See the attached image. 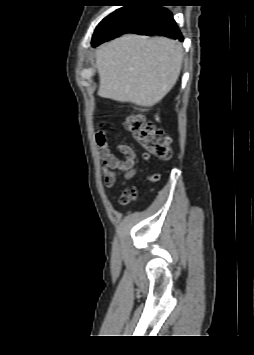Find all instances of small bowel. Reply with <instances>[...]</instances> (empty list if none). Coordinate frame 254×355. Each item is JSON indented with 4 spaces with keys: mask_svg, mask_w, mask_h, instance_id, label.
Instances as JSON below:
<instances>
[{
    "mask_svg": "<svg viewBox=\"0 0 254 355\" xmlns=\"http://www.w3.org/2000/svg\"><path fill=\"white\" fill-rule=\"evenodd\" d=\"M97 151L100 159L103 161V179L106 188L113 187L117 182L125 184L136 175L134 150L127 144L117 143V150L124 156V159H119L112 151L111 146L107 140L106 133L102 130L96 133ZM148 159L147 156H143ZM161 179L160 173L149 175L145 181L158 182ZM131 191L135 195L131 196ZM137 195V187L126 188L121 196V205H127Z\"/></svg>",
    "mask_w": 254,
    "mask_h": 355,
    "instance_id": "small-bowel-1",
    "label": "small bowel"
}]
</instances>
